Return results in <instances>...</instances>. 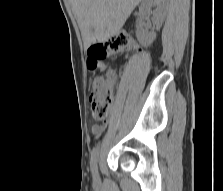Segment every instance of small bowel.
I'll return each mask as SVG.
<instances>
[{
  "label": "small bowel",
  "instance_id": "obj_1",
  "mask_svg": "<svg viewBox=\"0 0 223 191\" xmlns=\"http://www.w3.org/2000/svg\"><path fill=\"white\" fill-rule=\"evenodd\" d=\"M104 130V125L102 124H94L92 126V132L95 134V135H100Z\"/></svg>",
  "mask_w": 223,
  "mask_h": 191
}]
</instances>
